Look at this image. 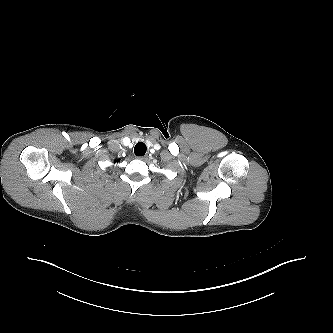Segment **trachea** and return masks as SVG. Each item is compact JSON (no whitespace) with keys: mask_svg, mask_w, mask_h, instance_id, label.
<instances>
[{"mask_svg":"<svg viewBox=\"0 0 333 333\" xmlns=\"http://www.w3.org/2000/svg\"><path fill=\"white\" fill-rule=\"evenodd\" d=\"M147 151V147L143 142H138L135 145L134 153L136 156H144Z\"/></svg>","mask_w":333,"mask_h":333,"instance_id":"1","label":"trachea"}]
</instances>
